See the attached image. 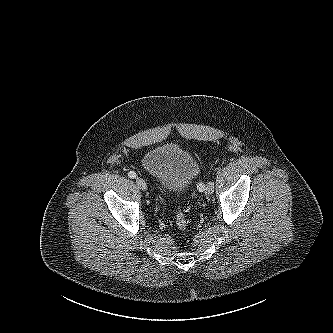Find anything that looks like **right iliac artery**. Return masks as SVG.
I'll use <instances>...</instances> for the list:
<instances>
[{"instance_id": "obj_1", "label": "right iliac artery", "mask_w": 333, "mask_h": 333, "mask_svg": "<svg viewBox=\"0 0 333 333\" xmlns=\"http://www.w3.org/2000/svg\"><path fill=\"white\" fill-rule=\"evenodd\" d=\"M128 176H129L130 178L134 179V178L136 177V173H135L134 171H130V172L128 173Z\"/></svg>"}]
</instances>
